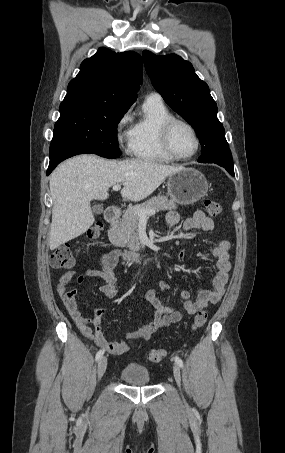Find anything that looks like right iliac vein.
Listing matches in <instances>:
<instances>
[{
    "label": "right iliac vein",
    "instance_id": "right-iliac-vein-1",
    "mask_svg": "<svg viewBox=\"0 0 285 453\" xmlns=\"http://www.w3.org/2000/svg\"><path fill=\"white\" fill-rule=\"evenodd\" d=\"M107 367V358L106 357H101L98 362V368H97V374H98V379H101V377L104 375Z\"/></svg>",
    "mask_w": 285,
    "mask_h": 453
}]
</instances>
